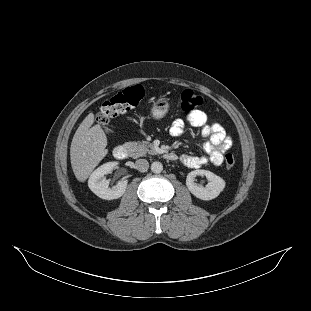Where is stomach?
Here are the masks:
<instances>
[{
	"label": "stomach",
	"mask_w": 311,
	"mask_h": 311,
	"mask_svg": "<svg viewBox=\"0 0 311 311\" xmlns=\"http://www.w3.org/2000/svg\"><path fill=\"white\" fill-rule=\"evenodd\" d=\"M168 109L167 105V99H158L157 101L154 102V108H153V115L155 117H162Z\"/></svg>",
	"instance_id": "stomach-1"
}]
</instances>
